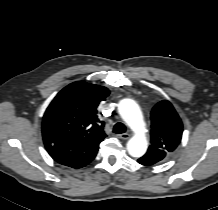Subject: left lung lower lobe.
I'll return each instance as SVG.
<instances>
[{"mask_svg": "<svg viewBox=\"0 0 218 210\" xmlns=\"http://www.w3.org/2000/svg\"><path fill=\"white\" fill-rule=\"evenodd\" d=\"M138 162H139L140 164L145 165V164H144L145 162H144L141 158L138 160Z\"/></svg>", "mask_w": 218, "mask_h": 210, "instance_id": "1", "label": "left lung lower lobe"}]
</instances>
